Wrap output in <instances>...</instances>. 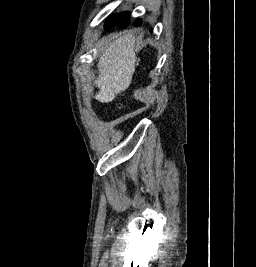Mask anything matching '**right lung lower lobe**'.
<instances>
[{
	"label": "right lung lower lobe",
	"instance_id": "obj_1",
	"mask_svg": "<svg viewBox=\"0 0 256 267\" xmlns=\"http://www.w3.org/2000/svg\"><path fill=\"white\" fill-rule=\"evenodd\" d=\"M130 24V18H128L127 20H125L124 22L122 23H119L117 24L119 27H122V28H126L128 25ZM142 24V21L141 20H136L134 22V26H140Z\"/></svg>",
	"mask_w": 256,
	"mask_h": 267
}]
</instances>
